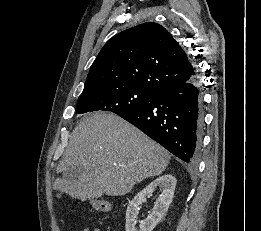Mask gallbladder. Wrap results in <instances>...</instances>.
<instances>
[{
	"label": "gallbladder",
	"instance_id": "bac80fb5",
	"mask_svg": "<svg viewBox=\"0 0 261 231\" xmlns=\"http://www.w3.org/2000/svg\"><path fill=\"white\" fill-rule=\"evenodd\" d=\"M84 172V169L82 167H78L74 170H71L68 175L69 179H77L81 176V174ZM58 197H60V195H58Z\"/></svg>",
	"mask_w": 261,
	"mask_h": 231
}]
</instances>
